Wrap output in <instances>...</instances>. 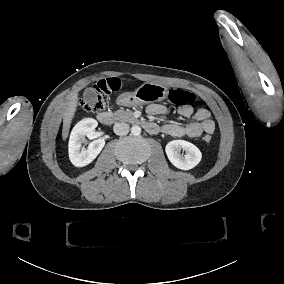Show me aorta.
<instances>
[{
    "mask_svg": "<svg viewBox=\"0 0 284 284\" xmlns=\"http://www.w3.org/2000/svg\"><path fill=\"white\" fill-rule=\"evenodd\" d=\"M131 133L133 134V135H140V133H141V128H140V126H138V125H133L132 126V128H131Z\"/></svg>",
    "mask_w": 284,
    "mask_h": 284,
    "instance_id": "obj_1",
    "label": "aorta"
}]
</instances>
